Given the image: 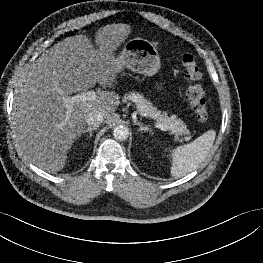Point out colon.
I'll use <instances>...</instances> for the list:
<instances>
[{"instance_id": "1", "label": "colon", "mask_w": 263, "mask_h": 263, "mask_svg": "<svg viewBox=\"0 0 263 263\" xmlns=\"http://www.w3.org/2000/svg\"><path fill=\"white\" fill-rule=\"evenodd\" d=\"M181 65L189 82L185 92L186 100L196 118L205 122L209 118V108L204 89L200 84L201 72L195 56L190 52H184L181 56Z\"/></svg>"}]
</instances>
